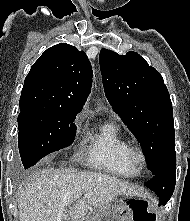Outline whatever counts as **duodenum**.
I'll return each instance as SVG.
<instances>
[{"mask_svg":"<svg viewBox=\"0 0 190 221\" xmlns=\"http://www.w3.org/2000/svg\"><path fill=\"white\" fill-rule=\"evenodd\" d=\"M80 221H91L89 217H85L84 219H81Z\"/></svg>","mask_w":190,"mask_h":221,"instance_id":"duodenum-1","label":"duodenum"}]
</instances>
